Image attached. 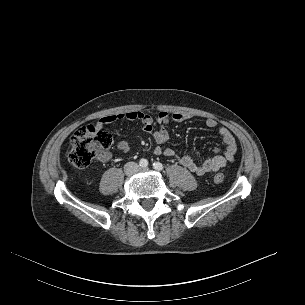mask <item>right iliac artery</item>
<instances>
[{"label": "right iliac artery", "mask_w": 305, "mask_h": 305, "mask_svg": "<svg viewBox=\"0 0 305 305\" xmlns=\"http://www.w3.org/2000/svg\"><path fill=\"white\" fill-rule=\"evenodd\" d=\"M139 165L141 167H147L148 166V161L146 159H141L140 162H139Z\"/></svg>", "instance_id": "obj_1"}]
</instances>
